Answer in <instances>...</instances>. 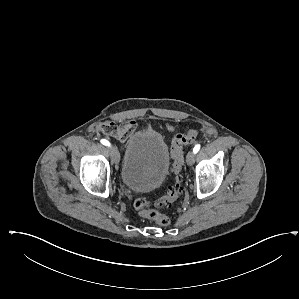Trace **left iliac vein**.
<instances>
[{
    "instance_id": "left-iliac-vein-1",
    "label": "left iliac vein",
    "mask_w": 299,
    "mask_h": 299,
    "mask_svg": "<svg viewBox=\"0 0 299 299\" xmlns=\"http://www.w3.org/2000/svg\"><path fill=\"white\" fill-rule=\"evenodd\" d=\"M195 161V154L193 151L188 152L186 156V162L189 166L193 165Z\"/></svg>"
}]
</instances>
